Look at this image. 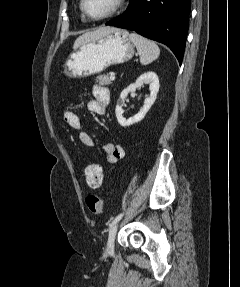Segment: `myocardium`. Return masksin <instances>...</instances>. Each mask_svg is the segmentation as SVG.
Returning a JSON list of instances; mask_svg holds the SVG:
<instances>
[{"mask_svg": "<svg viewBox=\"0 0 240 287\" xmlns=\"http://www.w3.org/2000/svg\"><path fill=\"white\" fill-rule=\"evenodd\" d=\"M124 3V0H114V3L112 5V8L104 15L102 16H97V17H93L91 16L88 11L86 10V0H81L80 2V8L81 11L83 13V15L90 21H95V22H99V21H104L107 20L109 18H111L112 16H114L122 7Z\"/></svg>", "mask_w": 240, "mask_h": 287, "instance_id": "obj_1", "label": "myocardium"}]
</instances>
